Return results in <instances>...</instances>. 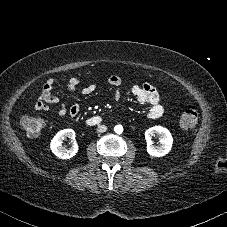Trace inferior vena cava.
Listing matches in <instances>:
<instances>
[{"label":"inferior vena cava","mask_w":227,"mask_h":227,"mask_svg":"<svg viewBox=\"0 0 227 227\" xmlns=\"http://www.w3.org/2000/svg\"><path fill=\"white\" fill-rule=\"evenodd\" d=\"M107 130V127L105 126V125H99L98 127H97V131L99 132V133H103V132H105Z\"/></svg>","instance_id":"inferior-vena-cava-1"}]
</instances>
